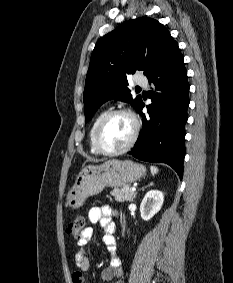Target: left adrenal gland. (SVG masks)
Listing matches in <instances>:
<instances>
[{
  "label": "left adrenal gland",
  "mask_w": 233,
  "mask_h": 283,
  "mask_svg": "<svg viewBox=\"0 0 233 283\" xmlns=\"http://www.w3.org/2000/svg\"><path fill=\"white\" fill-rule=\"evenodd\" d=\"M152 184H150V185H148V186H151ZM148 186H146V187H148ZM146 187H144V188H146ZM144 188H142V190H144ZM136 197V193H135V195H134V197H133V199Z\"/></svg>",
  "instance_id": "left-adrenal-gland-1"
}]
</instances>
